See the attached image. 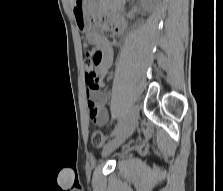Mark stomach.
I'll return each mask as SVG.
<instances>
[{
  "label": "stomach",
  "instance_id": "stomach-1",
  "mask_svg": "<svg viewBox=\"0 0 223 191\" xmlns=\"http://www.w3.org/2000/svg\"><path fill=\"white\" fill-rule=\"evenodd\" d=\"M88 1L75 0L72 6L76 26L82 32H88L91 29V22L88 15Z\"/></svg>",
  "mask_w": 223,
  "mask_h": 191
}]
</instances>
